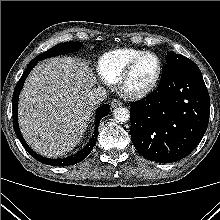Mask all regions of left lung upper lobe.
<instances>
[{"instance_id": "1", "label": "left lung upper lobe", "mask_w": 220, "mask_h": 220, "mask_svg": "<svg viewBox=\"0 0 220 220\" xmlns=\"http://www.w3.org/2000/svg\"><path fill=\"white\" fill-rule=\"evenodd\" d=\"M187 60H190V59H188L187 57L183 55L176 54L174 52H168L166 56L167 63L181 62V61H187Z\"/></svg>"}]
</instances>
